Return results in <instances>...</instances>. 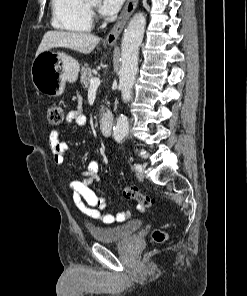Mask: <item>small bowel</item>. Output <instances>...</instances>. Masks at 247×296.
Returning <instances> with one entry per match:
<instances>
[{"instance_id": "small-bowel-1", "label": "small bowel", "mask_w": 247, "mask_h": 296, "mask_svg": "<svg viewBox=\"0 0 247 296\" xmlns=\"http://www.w3.org/2000/svg\"><path fill=\"white\" fill-rule=\"evenodd\" d=\"M67 122L76 127H85L87 125V119L80 109L69 112L67 114ZM50 146L54 163L59 166L63 165L66 160L68 145L60 141L57 130H53L50 133ZM98 170V161L91 160L87 170L82 174V178L73 179L69 182V188L72 191L73 201L76 207L86 216L105 224H115L126 220L130 216L129 211L117 214L108 213L106 198L98 196L90 188L92 183L98 182L100 179Z\"/></svg>"}]
</instances>
